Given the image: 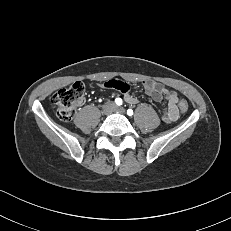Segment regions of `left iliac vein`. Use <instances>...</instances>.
<instances>
[{
    "label": "left iliac vein",
    "mask_w": 231,
    "mask_h": 231,
    "mask_svg": "<svg viewBox=\"0 0 231 231\" xmlns=\"http://www.w3.org/2000/svg\"><path fill=\"white\" fill-rule=\"evenodd\" d=\"M113 111L119 114H125V109L123 107L116 106L114 107Z\"/></svg>",
    "instance_id": "obj_1"
}]
</instances>
